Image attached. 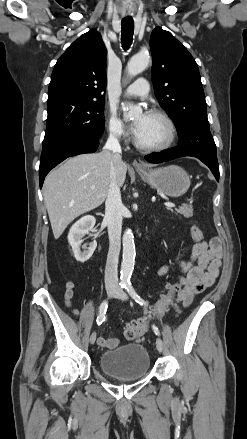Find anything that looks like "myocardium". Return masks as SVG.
Returning <instances> with one entry per match:
<instances>
[{
  "mask_svg": "<svg viewBox=\"0 0 247 439\" xmlns=\"http://www.w3.org/2000/svg\"><path fill=\"white\" fill-rule=\"evenodd\" d=\"M147 115L159 117L165 122L168 129V137L163 143L158 145H144L140 143L136 137L134 140L135 146L146 152H160L172 147L177 138V129L173 119L166 112L159 109L149 110Z\"/></svg>",
  "mask_w": 247,
  "mask_h": 439,
  "instance_id": "1",
  "label": "myocardium"
}]
</instances>
